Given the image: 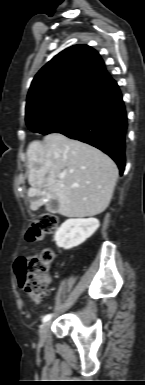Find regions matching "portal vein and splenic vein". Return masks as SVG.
Returning <instances> with one entry per match:
<instances>
[{"label": "portal vein and splenic vein", "mask_w": 145, "mask_h": 385, "mask_svg": "<svg viewBox=\"0 0 145 385\" xmlns=\"http://www.w3.org/2000/svg\"><path fill=\"white\" fill-rule=\"evenodd\" d=\"M60 187H62V188H63V187H64V185H60Z\"/></svg>", "instance_id": "obj_1"}]
</instances>
